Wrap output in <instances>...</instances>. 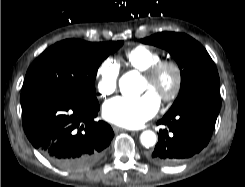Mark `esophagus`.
<instances>
[{
	"label": "esophagus",
	"mask_w": 245,
	"mask_h": 187,
	"mask_svg": "<svg viewBox=\"0 0 245 187\" xmlns=\"http://www.w3.org/2000/svg\"><path fill=\"white\" fill-rule=\"evenodd\" d=\"M113 130H114L115 132L126 131V129L121 128V127H117V126H113Z\"/></svg>",
	"instance_id": "obj_1"
}]
</instances>
